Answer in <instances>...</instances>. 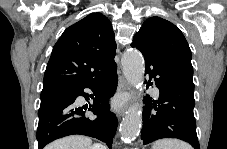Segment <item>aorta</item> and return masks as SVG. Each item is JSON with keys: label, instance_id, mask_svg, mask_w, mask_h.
Here are the masks:
<instances>
[{"label": "aorta", "instance_id": "obj_1", "mask_svg": "<svg viewBox=\"0 0 227 149\" xmlns=\"http://www.w3.org/2000/svg\"><path fill=\"white\" fill-rule=\"evenodd\" d=\"M122 67L126 80L135 88L141 87L145 71L142 54L137 50H127L122 57ZM141 123V106L134 103L126 111L120 126V134L124 141L130 142L139 135Z\"/></svg>", "mask_w": 227, "mask_h": 149}]
</instances>
